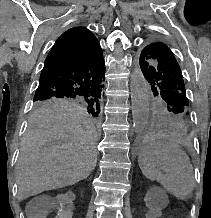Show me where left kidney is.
Wrapping results in <instances>:
<instances>
[{"instance_id": "left-kidney-1", "label": "left kidney", "mask_w": 211, "mask_h": 218, "mask_svg": "<svg viewBox=\"0 0 211 218\" xmlns=\"http://www.w3.org/2000/svg\"><path fill=\"white\" fill-rule=\"evenodd\" d=\"M147 193H150V190ZM144 214L147 215L146 218H161V215H157V210H152V207H146Z\"/></svg>"}]
</instances>
